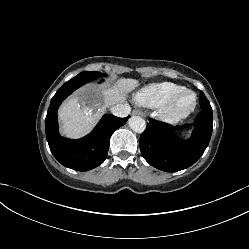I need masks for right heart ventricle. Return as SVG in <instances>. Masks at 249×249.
<instances>
[{"instance_id":"1","label":"right heart ventricle","mask_w":249,"mask_h":249,"mask_svg":"<svg viewBox=\"0 0 249 249\" xmlns=\"http://www.w3.org/2000/svg\"><path fill=\"white\" fill-rule=\"evenodd\" d=\"M182 88V86L173 82L151 83L135 95V100L138 104L146 107H161L174 93Z\"/></svg>"}]
</instances>
